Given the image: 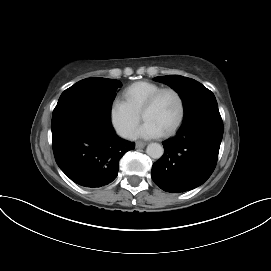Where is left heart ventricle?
I'll use <instances>...</instances> for the list:
<instances>
[{"instance_id":"1","label":"left heart ventricle","mask_w":271,"mask_h":271,"mask_svg":"<svg viewBox=\"0 0 271 271\" xmlns=\"http://www.w3.org/2000/svg\"><path fill=\"white\" fill-rule=\"evenodd\" d=\"M178 113L177 98L168 92L159 97L154 107L144 114L143 119L153 122L165 133L177 120Z\"/></svg>"}]
</instances>
